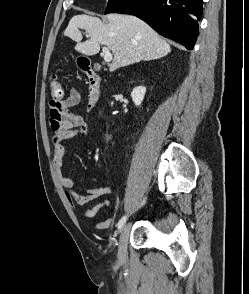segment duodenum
Masks as SVG:
<instances>
[{
    "instance_id": "1",
    "label": "duodenum",
    "mask_w": 249,
    "mask_h": 294,
    "mask_svg": "<svg viewBox=\"0 0 249 294\" xmlns=\"http://www.w3.org/2000/svg\"><path fill=\"white\" fill-rule=\"evenodd\" d=\"M82 69L88 77V110H92L101 99V76L89 62H86Z\"/></svg>"
}]
</instances>
